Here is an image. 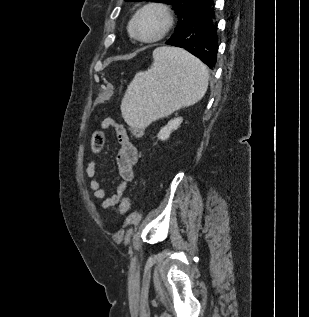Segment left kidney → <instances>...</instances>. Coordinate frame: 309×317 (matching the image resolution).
I'll return each instance as SVG.
<instances>
[{
    "label": "left kidney",
    "instance_id": "1",
    "mask_svg": "<svg viewBox=\"0 0 309 317\" xmlns=\"http://www.w3.org/2000/svg\"><path fill=\"white\" fill-rule=\"evenodd\" d=\"M183 122V118L182 117H177L174 118L172 120H170L167 125H165L164 127L161 128V130L158 133V138L160 140H166L169 138L171 132L173 130L178 129V127L180 126V124Z\"/></svg>",
    "mask_w": 309,
    "mask_h": 317
}]
</instances>
